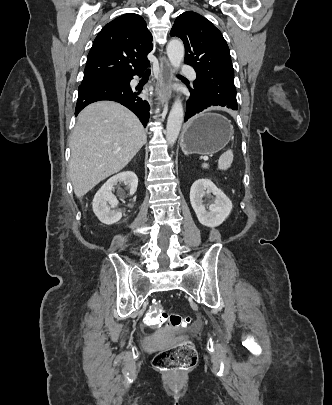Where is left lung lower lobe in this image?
Listing matches in <instances>:
<instances>
[{
  "label": "left lung lower lobe",
  "instance_id": "1",
  "mask_svg": "<svg viewBox=\"0 0 332 405\" xmlns=\"http://www.w3.org/2000/svg\"><path fill=\"white\" fill-rule=\"evenodd\" d=\"M190 98L187 101V110L185 115V121L195 114L207 109L210 107L207 105L206 100L201 95H196L190 90Z\"/></svg>",
  "mask_w": 332,
  "mask_h": 405
}]
</instances>
